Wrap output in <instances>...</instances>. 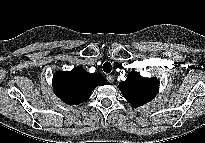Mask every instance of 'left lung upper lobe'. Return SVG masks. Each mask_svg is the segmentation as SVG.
<instances>
[{
	"mask_svg": "<svg viewBox=\"0 0 205 143\" xmlns=\"http://www.w3.org/2000/svg\"><path fill=\"white\" fill-rule=\"evenodd\" d=\"M126 77L119 89L133 107L142 106L157 95L159 81L156 78H144L138 72H130Z\"/></svg>",
	"mask_w": 205,
	"mask_h": 143,
	"instance_id": "5c2ea615",
	"label": "left lung upper lobe"
}]
</instances>
